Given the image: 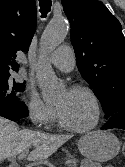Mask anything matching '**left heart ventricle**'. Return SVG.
Listing matches in <instances>:
<instances>
[{
  "instance_id": "left-heart-ventricle-1",
  "label": "left heart ventricle",
  "mask_w": 125,
  "mask_h": 167,
  "mask_svg": "<svg viewBox=\"0 0 125 167\" xmlns=\"http://www.w3.org/2000/svg\"><path fill=\"white\" fill-rule=\"evenodd\" d=\"M65 120L74 127L90 125L95 118V106L91 98L83 92L64 91L56 101Z\"/></svg>"
}]
</instances>
